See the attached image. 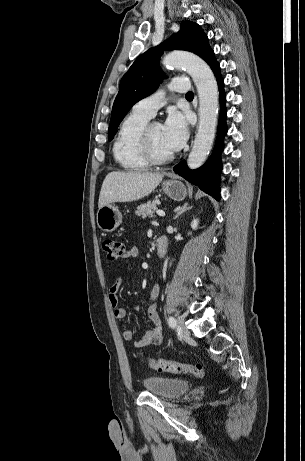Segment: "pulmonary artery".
I'll use <instances>...</instances> for the list:
<instances>
[{
	"mask_svg": "<svg viewBox=\"0 0 305 461\" xmlns=\"http://www.w3.org/2000/svg\"><path fill=\"white\" fill-rule=\"evenodd\" d=\"M169 90L184 93L189 90L188 81L186 78H174L168 85ZM165 93L159 90L154 94L137 102L133 110L143 115L152 118L157 110L165 104Z\"/></svg>",
	"mask_w": 305,
	"mask_h": 461,
	"instance_id": "pulmonary-artery-1",
	"label": "pulmonary artery"
}]
</instances>
